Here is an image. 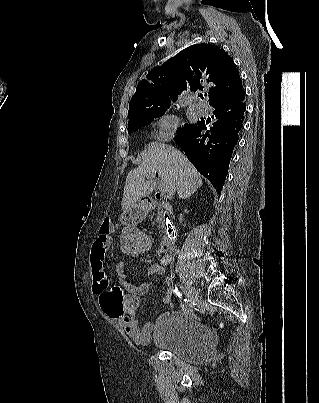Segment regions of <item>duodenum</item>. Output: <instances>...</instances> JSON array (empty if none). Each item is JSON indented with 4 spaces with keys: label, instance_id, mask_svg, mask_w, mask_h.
<instances>
[{
    "label": "duodenum",
    "instance_id": "410a0bca",
    "mask_svg": "<svg viewBox=\"0 0 319 403\" xmlns=\"http://www.w3.org/2000/svg\"><path fill=\"white\" fill-rule=\"evenodd\" d=\"M155 208H160L166 217L171 216V206L160 191H157L151 198L143 199L138 206V211L142 214ZM176 237L177 228L171 223L167 224L163 239L161 241V248L166 252L173 251L176 246Z\"/></svg>",
    "mask_w": 319,
    "mask_h": 403
}]
</instances>
